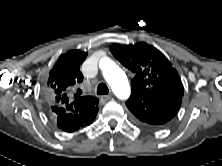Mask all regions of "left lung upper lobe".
<instances>
[{"instance_id":"obj_1","label":"left lung upper lobe","mask_w":222,"mask_h":166,"mask_svg":"<svg viewBox=\"0 0 222 166\" xmlns=\"http://www.w3.org/2000/svg\"><path fill=\"white\" fill-rule=\"evenodd\" d=\"M110 51L126 68L135 73L131 95L155 98L159 94L183 96L184 88L176 69L156 48L141 42L136 45L114 44Z\"/></svg>"}]
</instances>
